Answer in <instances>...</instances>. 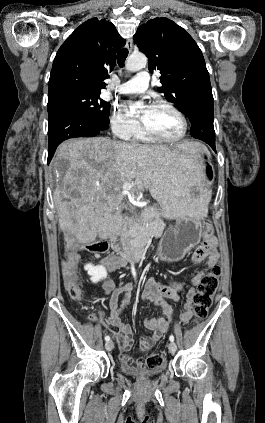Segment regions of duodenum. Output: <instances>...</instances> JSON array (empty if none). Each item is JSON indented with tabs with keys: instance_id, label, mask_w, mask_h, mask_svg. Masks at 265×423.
<instances>
[{
	"instance_id": "410a0bca",
	"label": "duodenum",
	"mask_w": 265,
	"mask_h": 423,
	"mask_svg": "<svg viewBox=\"0 0 265 423\" xmlns=\"http://www.w3.org/2000/svg\"><path fill=\"white\" fill-rule=\"evenodd\" d=\"M110 242L113 251L119 255L122 263L137 262L144 256L143 240L138 238L132 245L127 244L123 229L117 230L111 237Z\"/></svg>"
}]
</instances>
